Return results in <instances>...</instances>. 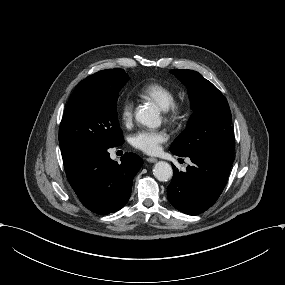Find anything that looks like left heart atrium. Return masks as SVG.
<instances>
[{
    "mask_svg": "<svg viewBox=\"0 0 285 285\" xmlns=\"http://www.w3.org/2000/svg\"><path fill=\"white\" fill-rule=\"evenodd\" d=\"M168 139L166 131L145 129L135 133L131 138L134 147L148 154L159 150V145Z\"/></svg>",
    "mask_w": 285,
    "mask_h": 285,
    "instance_id": "left-heart-atrium-1",
    "label": "left heart atrium"
}]
</instances>
